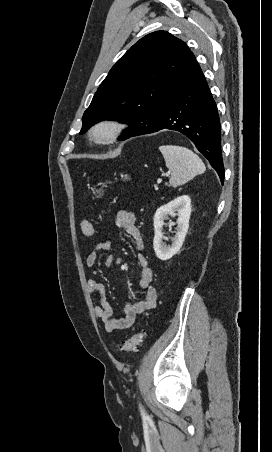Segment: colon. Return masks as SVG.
<instances>
[{"label":"colon","instance_id":"obj_1","mask_svg":"<svg viewBox=\"0 0 272 452\" xmlns=\"http://www.w3.org/2000/svg\"><path fill=\"white\" fill-rule=\"evenodd\" d=\"M81 229L86 236H92L94 234L93 224L89 220H83L81 222ZM144 337L145 332L143 330H138L130 338L122 342L121 351L124 353L134 352L142 343Z\"/></svg>","mask_w":272,"mask_h":452}]
</instances>
